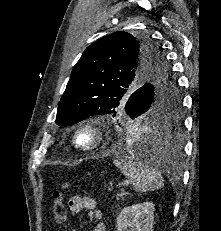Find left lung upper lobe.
Returning a JSON list of instances; mask_svg holds the SVG:
<instances>
[{
    "mask_svg": "<svg viewBox=\"0 0 221 231\" xmlns=\"http://www.w3.org/2000/svg\"><path fill=\"white\" fill-rule=\"evenodd\" d=\"M124 106L129 116L146 114L160 125L181 121L177 83L162 48L147 36L118 31L83 52L60 100L56 124L73 125L96 114L114 117Z\"/></svg>",
    "mask_w": 221,
    "mask_h": 231,
    "instance_id": "left-lung-upper-lobe-1",
    "label": "left lung upper lobe"
}]
</instances>
